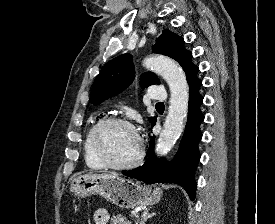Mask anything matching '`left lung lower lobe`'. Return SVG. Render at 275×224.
I'll use <instances>...</instances> for the list:
<instances>
[{"label":"left lung lower lobe","mask_w":275,"mask_h":224,"mask_svg":"<svg viewBox=\"0 0 275 224\" xmlns=\"http://www.w3.org/2000/svg\"><path fill=\"white\" fill-rule=\"evenodd\" d=\"M198 71L199 69H196L187 78L189 85L188 120L174 160L170 164H167L163 158L156 160L153 151L154 138H152L147 153L148 158L144 165L124 173L128 177L135 178L147 184H179L186 190L192 200L195 198L196 190L194 170L200 159L198 143L202 138V133L199 127L204 120V115L200 111L203 97L199 94L202 81L196 76ZM155 122L151 124L152 127L155 125Z\"/></svg>","instance_id":"0a47b994"}]
</instances>
